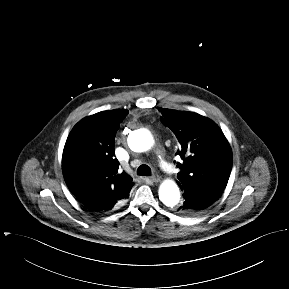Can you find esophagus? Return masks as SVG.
Segmentation results:
<instances>
[{"instance_id": "obj_1", "label": "esophagus", "mask_w": 289, "mask_h": 289, "mask_svg": "<svg viewBox=\"0 0 289 289\" xmlns=\"http://www.w3.org/2000/svg\"><path fill=\"white\" fill-rule=\"evenodd\" d=\"M150 179H151L152 182H155V183L161 181V178L158 175H153V176L150 177Z\"/></svg>"}]
</instances>
